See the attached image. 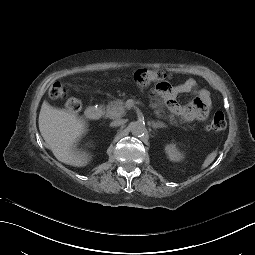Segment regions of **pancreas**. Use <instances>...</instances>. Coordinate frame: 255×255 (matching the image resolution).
Masks as SVG:
<instances>
[{
    "label": "pancreas",
    "mask_w": 255,
    "mask_h": 255,
    "mask_svg": "<svg viewBox=\"0 0 255 255\" xmlns=\"http://www.w3.org/2000/svg\"><path fill=\"white\" fill-rule=\"evenodd\" d=\"M154 108V106H152ZM158 118L168 119L173 125H177V121L173 115L167 117L160 115V110H155ZM125 114L124 103L121 100H113L108 102L106 106V116L111 119H119Z\"/></svg>",
    "instance_id": "pancreas-1"
}]
</instances>
